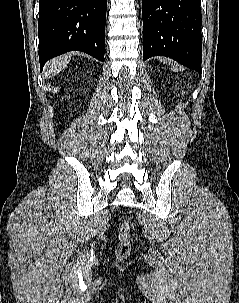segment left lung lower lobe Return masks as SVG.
Masks as SVG:
<instances>
[{
  "mask_svg": "<svg viewBox=\"0 0 239 303\" xmlns=\"http://www.w3.org/2000/svg\"><path fill=\"white\" fill-rule=\"evenodd\" d=\"M143 60L170 57L202 73L200 0H142Z\"/></svg>",
  "mask_w": 239,
  "mask_h": 303,
  "instance_id": "1",
  "label": "left lung lower lobe"
}]
</instances>
